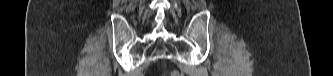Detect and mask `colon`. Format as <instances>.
<instances>
[{"mask_svg": "<svg viewBox=\"0 0 333 76\" xmlns=\"http://www.w3.org/2000/svg\"><path fill=\"white\" fill-rule=\"evenodd\" d=\"M171 75H172V76H180L181 74L178 73V72H176V71H174V72L171 73Z\"/></svg>", "mask_w": 333, "mask_h": 76, "instance_id": "colon-1", "label": "colon"}]
</instances>
